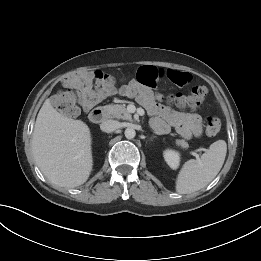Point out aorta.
<instances>
[{
    "instance_id": "aorta-1",
    "label": "aorta",
    "mask_w": 261,
    "mask_h": 261,
    "mask_svg": "<svg viewBox=\"0 0 261 261\" xmlns=\"http://www.w3.org/2000/svg\"><path fill=\"white\" fill-rule=\"evenodd\" d=\"M124 134L127 139H133L136 136V132L133 128H127Z\"/></svg>"
}]
</instances>
